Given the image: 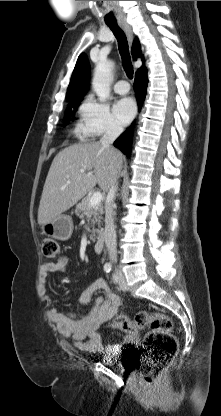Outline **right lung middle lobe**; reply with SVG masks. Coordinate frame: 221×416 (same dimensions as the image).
Returning <instances> with one entry per match:
<instances>
[{
    "label": "right lung middle lobe",
    "instance_id": "1",
    "mask_svg": "<svg viewBox=\"0 0 221 416\" xmlns=\"http://www.w3.org/2000/svg\"><path fill=\"white\" fill-rule=\"evenodd\" d=\"M80 101L81 100H77V101H74V102H70L69 103V106H68V108L66 110V119H65V123L66 124H68V118L73 114L72 108L74 110H76V108L79 105Z\"/></svg>",
    "mask_w": 221,
    "mask_h": 416
}]
</instances>
